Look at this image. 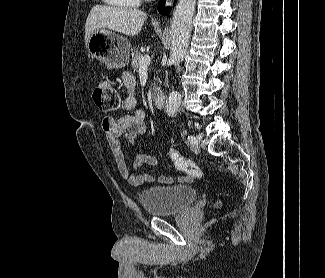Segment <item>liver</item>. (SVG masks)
Segmentation results:
<instances>
[{"mask_svg": "<svg viewBox=\"0 0 325 278\" xmlns=\"http://www.w3.org/2000/svg\"><path fill=\"white\" fill-rule=\"evenodd\" d=\"M147 18V14L135 8L95 5L86 20L85 44L93 32L110 29L128 36L137 35Z\"/></svg>", "mask_w": 325, "mask_h": 278, "instance_id": "obj_1", "label": "liver"}]
</instances>
